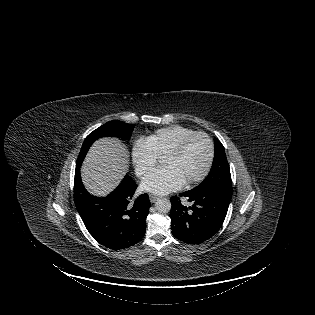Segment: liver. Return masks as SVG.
Here are the masks:
<instances>
[{
	"instance_id": "liver-1",
	"label": "liver",
	"mask_w": 315,
	"mask_h": 315,
	"mask_svg": "<svg viewBox=\"0 0 315 315\" xmlns=\"http://www.w3.org/2000/svg\"><path fill=\"white\" fill-rule=\"evenodd\" d=\"M128 166L129 152L118 139H100L81 168L83 183L92 194L104 196L119 184Z\"/></svg>"
}]
</instances>
